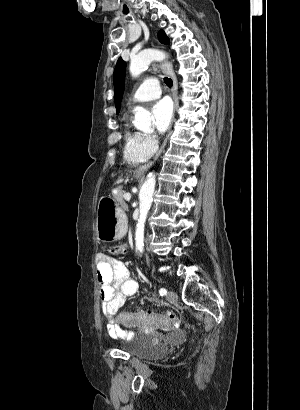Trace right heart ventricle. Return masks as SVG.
I'll use <instances>...</instances> for the list:
<instances>
[{"mask_svg": "<svg viewBox=\"0 0 300 410\" xmlns=\"http://www.w3.org/2000/svg\"><path fill=\"white\" fill-rule=\"evenodd\" d=\"M140 133L129 129L124 131V160L128 164L145 161L151 154L147 153L141 146Z\"/></svg>", "mask_w": 300, "mask_h": 410, "instance_id": "obj_1", "label": "right heart ventricle"}]
</instances>
